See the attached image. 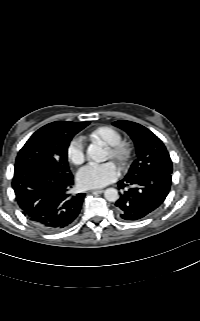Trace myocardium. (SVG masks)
<instances>
[{"label":"myocardium","mask_w":200,"mask_h":321,"mask_svg":"<svg viewBox=\"0 0 200 321\" xmlns=\"http://www.w3.org/2000/svg\"><path fill=\"white\" fill-rule=\"evenodd\" d=\"M110 157L120 166H126L132 159L133 148L126 141H120L108 147Z\"/></svg>","instance_id":"1"}]
</instances>
